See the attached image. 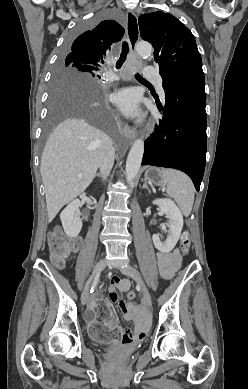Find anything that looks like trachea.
Returning a JSON list of instances; mask_svg holds the SVG:
<instances>
[{
  "label": "trachea",
  "instance_id": "trachea-1",
  "mask_svg": "<svg viewBox=\"0 0 248 389\" xmlns=\"http://www.w3.org/2000/svg\"><path fill=\"white\" fill-rule=\"evenodd\" d=\"M128 52H129L128 43L127 42H123L121 55H120L118 61L116 62V68L117 69H120L121 66L123 65L124 61L126 60ZM135 77H136L137 80H141V81L147 82V80H145L138 73L135 75Z\"/></svg>",
  "mask_w": 248,
  "mask_h": 389
}]
</instances>
